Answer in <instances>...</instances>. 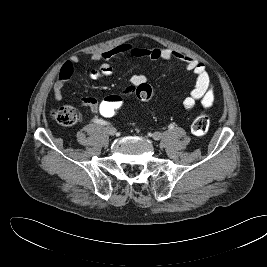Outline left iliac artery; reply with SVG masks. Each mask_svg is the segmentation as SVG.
I'll return each instance as SVG.
<instances>
[{"instance_id": "left-iliac-artery-1", "label": "left iliac artery", "mask_w": 267, "mask_h": 267, "mask_svg": "<svg viewBox=\"0 0 267 267\" xmlns=\"http://www.w3.org/2000/svg\"><path fill=\"white\" fill-rule=\"evenodd\" d=\"M168 128H169V129H173V128H174V125H173V124H170V125L168 126Z\"/></svg>"}]
</instances>
